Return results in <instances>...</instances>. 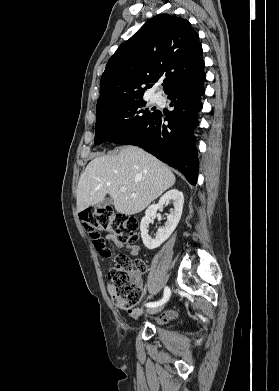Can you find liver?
<instances>
[{"instance_id": "1", "label": "liver", "mask_w": 279, "mask_h": 391, "mask_svg": "<svg viewBox=\"0 0 279 391\" xmlns=\"http://www.w3.org/2000/svg\"><path fill=\"white\" fill-rule=\"evenodd\" d=\"M175 181L171 170L156 157L136 146H125L118 153L97 156L89 162L77 187V211L98 204L108 194L118 213L133 215ZM121 187L126 191L121 192Z\"/></svg>"}]
</instances>
